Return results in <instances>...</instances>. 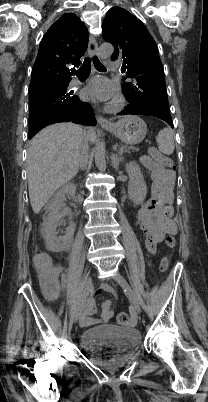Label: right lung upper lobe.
<instances>
[{
  "mask_svg": "<svg viewBox=\"0 0 208 402\" xmlns=\"http://www.w3.org/2000/svg\"><path fill=\"white\" fill-rule=\"evenodd\" d=\"M88 45L85 24L72 13L63 14L43 36L33 65L29 89L49 81L71 79L70 65L81 64Z\"/></svg>",
  "mask_w": 208,
  "mask_h": 402,
  "instance_id": "cb5924a9",
  "label": "right lung upper lobe"
}]
</instances>
